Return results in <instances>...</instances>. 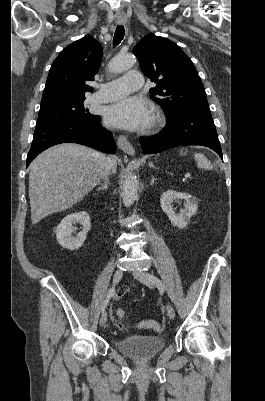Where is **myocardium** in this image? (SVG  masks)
Segmentation results:
<instances>
[{
	"instance_id": "obj_1",
	"label": "myocardium",
	"mask_w": 265,
	"mask_h": 401,
	"mask_svg": "<svg viewBox=\"0 0 265 401\" xmlns=\"http://www.w3.org/2000/svg\"><path fill=\"white\" fill-rule=\"evenodd\" d=\"M162 122H163L162 111L159 108L154 107L152 110V115H151L149 123H148L149 128L154 129V128L158 127Z\"/></svg>"
}]
</instances>
